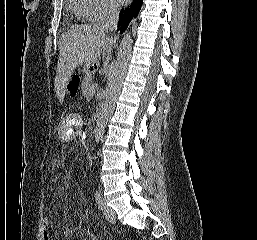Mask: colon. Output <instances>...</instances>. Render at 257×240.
I'll use <instances>...</instances> for the list:
<instances>
[{
  "label": "colon",
  "mask_w": 257,
  "mask_h": 240,
  "mask_svg": "<svg viewBox=\"0 0 257 240\" xmlns=\"http://www.w3.org/2000/svg\"><path fill=\"white\" fill-rule=\"evenodd\" d=\"M81 84V79L79 76H72L67 83V92L70 96L74 97L78 94ZM49 218L44 216L41 221V236L43 240H49Z\"/></svg>",
  "instance_id": "colon-1"
}]
</instances>
